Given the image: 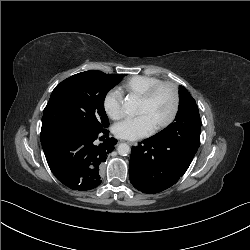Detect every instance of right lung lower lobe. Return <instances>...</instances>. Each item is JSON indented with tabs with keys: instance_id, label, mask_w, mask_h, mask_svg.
I'll return each instance as SVG.
<instances>
[{
	"instance_id": "obj_1",
	"label": "right lung lower lobe",
	"mask_w": 250,
	"mask_h": 250,
	"mask_svg": "<svg viewBox=\"0 0 250 250\" xmlns=\"http://www.w3.org/2000/svg\"><path fill=\"white\" fill-rule=\"evenodd\" d=\"M101 132L71 126L41 130V144L47 163L55 177L74 190H91L101 184L100 169L116 140L107 138L96 145Z\"/></svg>"
}]
</instances>
